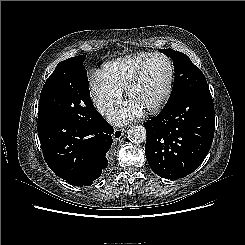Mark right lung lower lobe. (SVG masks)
Instances as JSON below:
<instances>
[{
	"instance_id": "98d812e1",
	"label": "right lung lower lobe",
	"mask_w": 245,
	"mask_h": 245,
	"mask_svg": "<svg viewBox=\"0 0 245 245\" xmlns=\"http://www.w3.org/2000/svg\"><path fill=\"white\" fill-rule=\"evenodd\" d=\"M113 128L96 109L85 123L38 118L44 159L60 178L74 186L91 185L107 167Z\"/></svg>"
}]
</instances>
